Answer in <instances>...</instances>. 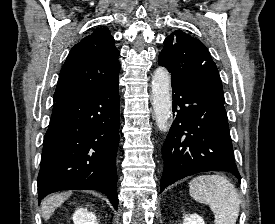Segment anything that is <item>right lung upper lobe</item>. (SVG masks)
Wrapping results in <instances>:
<instances>
[{"label": "right lung upper lobe", "instance_id": "cb5924a9", "mask_svg": "<svg viewBox=\"0 0 275 224\" xmlns=\"http://www.w3.org/2000/svg\"><path fill=\"white\" fill-rule=\"evenodd\" d=\"M119 51L109 30L98 28L70 51L59 75L54 102L82 97L118 83Z\"/></svg>", "mask_w": 275, "mask_h": 224}]
</instances>
